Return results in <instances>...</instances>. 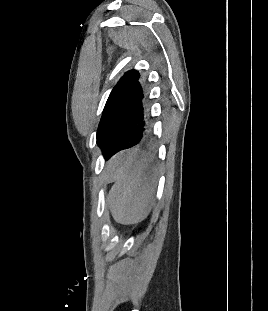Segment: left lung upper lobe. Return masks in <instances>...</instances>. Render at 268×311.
<instances>
[{
	"instance_id": "left-lung-upper-lobe-1",
	"label": "left lung upper lobe",
	"mask_w": 268,
	"mask_h": 311,
	"mask_svg": "<svg viewBox=\"0 0 268 311\" xmlns=\"http://www.w3.org/2000/svg\"><path fill=\"white\" fill-rule=\"evenodd\" d=\"M139 78L140 74L137 70L127 71L114 86L108 97L97 130V143L103 155L118 127L119 115L127 105L130 93Z\"/></svg>"
}]
</instances>
